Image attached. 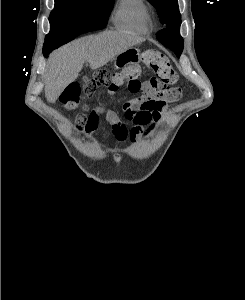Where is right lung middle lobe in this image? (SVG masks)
I'll return each mask as SVG.
<instances>
[{
    "mask_svg": "<svg viewBox=\"0 0 245 300\" xmlns=\"http://www.w3.org/2000/svg\"><path fill=\"white\" fill-rule=\"evenodd\" d=\"M114 0H55L50 14V33L43 48L56 49L82 34V25L91 20L106 24Z\"/></svg>",
    "mask_w": 245,
    "mask_h": 300,
    "instance_id": "1",
    "label": "right lung middle lobe"
}]
</instances>
